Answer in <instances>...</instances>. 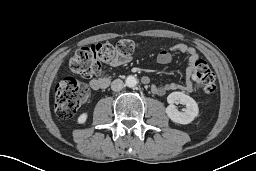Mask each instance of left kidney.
Here are the masks:
<instances>
[{"instance_id":"obj_1","label":"left kidney","mask_w":256,"mask_h":171,"mask_svg":"<svg viewBox=\"0 0 256 171\" xmlns=\"http://www.w3.org/2000/svg\"><path fill=\"white\" fill-rule=\"evenodd\" d=\"M167 102L169 103L166 108L167 116L176 123L189 124L198 116L199 108L196 101L183 92H172L168 95ZM174 103L184 104L186 109L180 112Z\"/></svg>"}]
</instances>
